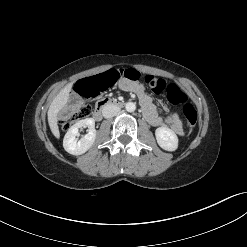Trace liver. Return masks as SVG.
Instances as JSON below:
<instances>
[{"label": "liver", "instance_id": "liver-1", "mask_svg": "<svg viewBox=\"0 0 247 247\" xmlns=\"http://www.w3.org/2000/svg\"><path fill=\"white\" fill-rule=\"evenodd\" d=\"M73 83L67 84L53 99L48 109V123L53 135L59 139L58 113L66 106Z\"/></svg>", "mask_w": 247, "mask_h": 247}]
</instances>
